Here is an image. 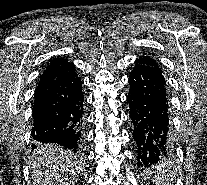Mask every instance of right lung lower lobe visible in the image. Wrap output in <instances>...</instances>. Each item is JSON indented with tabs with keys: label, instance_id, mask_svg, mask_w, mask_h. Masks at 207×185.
<instances>
[{
	"label": "right lung lower lobe",
	"instance_id": "right-lung-lower-lobe-1",
	"mask_svg": "<svg viewBox=\"0 0 207 185\" xmlns=\"http://www.w3.org/2000/svg\"><path fill=\"white\" fill-rule=\"evenodd\" d=\"M32 115L34 141L59 144L74 151L79 149L85 114L82 82L76 73L37 86Z\"/></svg>",
	"mask_w": 207,
	"mask_h": 185
}]
</instances>
